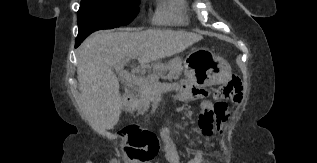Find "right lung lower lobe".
Returning <instances> with one entry per match:
<instances>
[{
  "label": "right lung lower lobe",
  "instance_id": "1",
  "mask_svg": "<svg viewBox=\"0 0 317 163\" xmlns=\"http://www.w3.org/2000/svg\"><path fill=\"white\" fill-rule=\"evenodd\" d=\"M83 40L76 41L75 47H78Z\"/></svg>",
  "mask_w": 317,
  "mask_h": 163
}]
</instances>
